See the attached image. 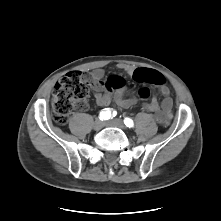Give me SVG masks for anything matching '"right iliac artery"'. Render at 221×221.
Here are the masks:
<instances>
[{
    "mask_svg": "<svg viewBox=\"0 0 221 221\" xmlns=\"http://www.w3.org/2000/svg\"><path fill=\"white\" fill-rule=\"evenodd\" d=\"M100 120H108L111 118V111L108 109H104L103 111L100 112L99 114Z\"/></svg>",
    "mask_w": 221,
    "mask_h": 221,
    "instance_id": "right-iliac-artery-1",
    "label": "right iliac artery"
}]
</instances>
